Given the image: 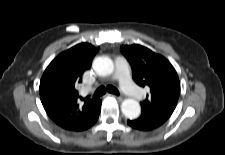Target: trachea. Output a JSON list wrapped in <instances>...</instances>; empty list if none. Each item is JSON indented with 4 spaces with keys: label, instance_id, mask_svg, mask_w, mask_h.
<instances>
[{
    "label": "trachea",
    "instance_id": "3493384b",
    "mask_svg": "<svg viewBox=\"0 0 225 155\" xmlns=\"http://www.w3.org/2000/svg\"><path fill=\"white\" fill-rule=\"evenodd\" d=\"M108 91L109 93L115 94V95H119V91L113 87V86H107V88H105L104 86H100L94 93V97H100L103 94H105V92Z\"/></svg>",
    "mask_w": 225,
    "mask_h": 155
}]
</instances>
